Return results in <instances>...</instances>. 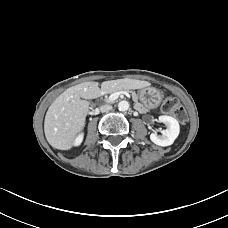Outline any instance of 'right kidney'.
Instances as JSON below:
<instances>
[{"instance_id": "ca27d5eb", "label": "right kidney", "mask_w": 228, "mask_h": 228, "mask_svg": "<svg viewBox=\"0 0 228 228\" xmlns=\"http://www.w3.org/2000/svg\"><path fill=\"white\" fill-rule=\"evenodd\" d=\"M82 140H83V135L81 134V135H79V136L75 139L74 144H75L76 146H78V145L81 144Z\"/></svg>"}]
</instances>
